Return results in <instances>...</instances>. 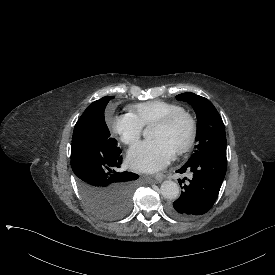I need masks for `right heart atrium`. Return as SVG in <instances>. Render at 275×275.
I'll return each mask as SVG.
<instances>
[{
  "mask_svg": "<svg viewBox=\"0 0 275 275\" xmlns=\"http://www.w3.org/2000/svg\"><path fill=\"white\" fill-rule=\"evenodd\" d=\"M110 129L111 133L129 149L138 145L143 132L141 123L133 115L128 114L113 118Z\"/></svg>",
  "mask_w": 275,
  "mask_h": 275,
  "instance_id": "d8ad5b80",
  "label": "right heart atrium"
}]
</instances>
